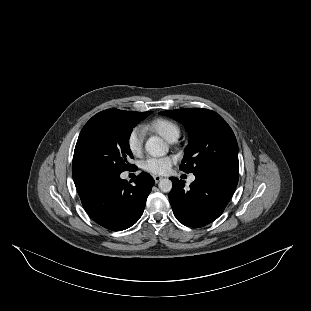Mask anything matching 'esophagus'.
<instances>
[{
    "mask_svg": "<svg viewBox=\"0 0 311 311\" xmlns=\"http://www.w3.org/2000/svg\"><path fill=\"white\" fill-rule=\"evenodd\" d=\"M153 178L156 184L162 179L161 176H153Z\"/></svg>",
    "mask_w": 311,
    "mask_h": 311,
    "instance_id": "obj_1",
    "label": "esophagus"
}]
</instances>
